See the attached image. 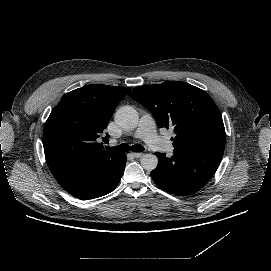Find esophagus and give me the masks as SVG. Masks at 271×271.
I'll use <instances>...</instances> for the list:
<instances>
[{
    "instance_id": "esophagus-1",
    "label": "esophagus",
    "mask_w": 271,
    "mask_h": 271,
    "mask_svg": "<svg viewBox=\"0 0 271 271\" xmlns=\"http://www.w3.org/2000/svg\"><path fill=\"white\" fill-rule=\"evenodd\" d=\"M143 155H144V153H141V152H135V153H133V156L135 158H141Z\"/></svg>"
}]
</instances>
